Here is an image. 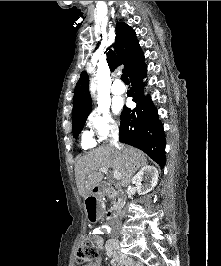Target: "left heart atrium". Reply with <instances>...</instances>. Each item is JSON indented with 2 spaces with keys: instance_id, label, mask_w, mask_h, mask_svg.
<instances>
[{
  "instance_id": "1",
  "label": "left heart atrium",
  "mask_w": 221,
  "mask_h": 266,
  "mask_svg": "<svg viewBox=\"0 0 221 266\" xmlns=\"http://www.w3.org/2000/svg\"><path fill=\"white\" fill-rule=\"evenodd\" d=\"M115 108H116L117 111H119L120 108H121V105L120 104H117Z\"/></svg>"
}]
</instances>
